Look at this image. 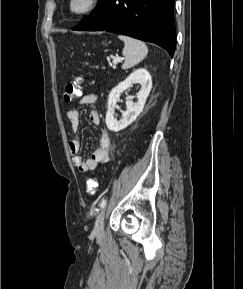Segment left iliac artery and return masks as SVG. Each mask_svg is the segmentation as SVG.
<instances>
[{
  "label": "left iliac artery",
  "instance_id": "obj_1",
  "mask_svg": "<svg viewBox=\"0 0 243 289\" xmlns=\"http://www.w3.org/2000/svg\"><path fill=\"white\" fill-rule=\"evenodd\" d=\"M106 205H107V200H106V199H103L102 202H101V204H100V208H101V209H104V208L106 207Z\"/></svg>",
  "mask_w": 243,
  "mask_h": 289
}]
</instances>
